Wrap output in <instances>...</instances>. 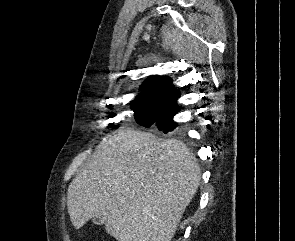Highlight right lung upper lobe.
Here are the masks:
<instances>
[{
    "instance_id": "right-lung-upper-lobe-1",
    "label": "right lung upper lobe",
    "mask_w": 295,
    "mask_h": 241,
    "mask_svg": "<svg viewBox=\"0 0 295 241\" xmlns=\"http://www.w3.org/2000/svg\"><path fill=\"white\" fill-rule=\"evenodd\" d=\"M142 93L138 95L130 106L162 113L168 117L176 114L180 107L177 100L180 92L172 86V79L166 76H149L141 86Z\"/></svg>"
}]
</instances>
